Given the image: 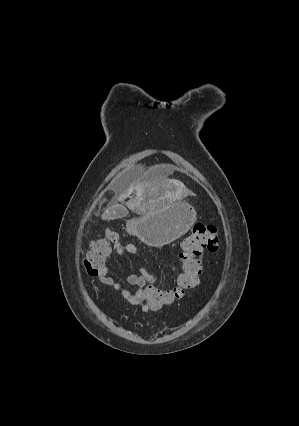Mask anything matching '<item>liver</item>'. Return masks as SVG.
<instances>
[{"mask_svg":"<svg viewBox=\"0 0 299 426\" xmlns=\"http://www.w3.org/2000/svg\"><path fill=\"white\" fill-rule=\"evenodd\" d=\"M170 183L171 182L166 181L161 188V186H151L144 180H138L130 183L127 188H118L115 196V203L106 209L102 215V219L111 220L127 214V208L123 203L133 192H136V198L126 203L128 208L135 209L136 207H140L143 209L147 206L155 208L158 202L156 197L161 191H165V195L161 199L169 197L168 186ZM119 202H121V204H119Z\"/></svg>","mask_w":299,"mask_h":426,"instance_id":"obj_1","label":"liver"}]
</instances>
